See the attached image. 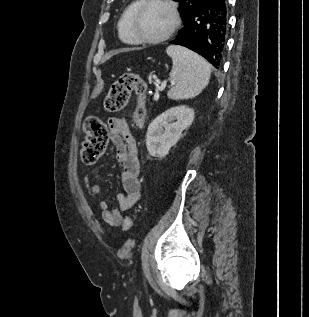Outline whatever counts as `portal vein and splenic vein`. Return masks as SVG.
I'll use <instances>...</instances> for the list:
<instances>
[{"instance_id": "1", "label": "portal vein and splenic vein", "mask_w": 309, "mask_h": 317, "mask_svg": "<svg viewBox=\"0 0 309 317\" xmlns=\"http://www.w3.org/2000/svg\"><path fill=\"white\" fill-rule=\"evenodd\" d=\"M173 83V82H172ZM166 86V82L162 83L161 89H163Z\"/></svg>"}]
</instances>
